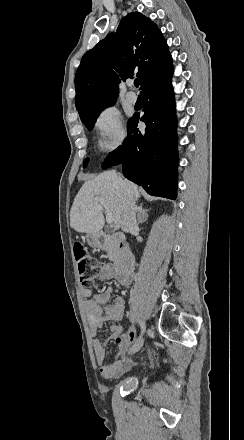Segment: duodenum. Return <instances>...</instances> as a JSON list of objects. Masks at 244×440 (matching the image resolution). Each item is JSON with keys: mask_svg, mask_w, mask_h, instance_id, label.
Returning <instances> with one entry per match:
<instances>
[{"mask_svg": "<svg viewBox=\"0 0 244 440\" xmlns=\"http://www.w3.org/2000/svg\"><path fill=\"white\" fill-rule=\"evenodd\" d=\"M92 242L99 249H110L111 247L120 249V257L118 261L119 268L127 271L128 274L131 271L134 272L133 269L136 265V258L133 253L123 251L125 240L122 238V236H109L105 233L98 232L92 237Z\"/></svg>", "mask_w": 244, "mask_h": 440, "instance_id": "410a0bca", "label": "duodenum"}]
</instances>
